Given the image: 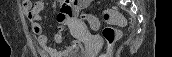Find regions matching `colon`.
Returning a JSON list of instances; mask_svg holds the SVG:
<instances>
[{"mask_svg":"<svg viewBox=\"0 0 172 57\" xmlns=\"http://www.w3.org/2000/svg\"><path fill=\"white\" fill-rule=\"evenodd\" d=\"M69 13L75 14L71 10L69 11ZM102 16H103L105 22H107L109 24V26H107L103 29L102 33L107 42L108 47L110 48L114 45V43L119 38V32L114 26L122 27L124 25L125 21H124L122 15L115 10H103ZM82 17L84 19H87L89 26L92 29L96 30L100 27V21L96 16L82 15ZM108 56H109L108 52H104L101 54V57H108Z\"/></svg>","mask_w":172,"mask_h":57,"instance_id":"5ec220e1","label":"colon"}]
</instances>
